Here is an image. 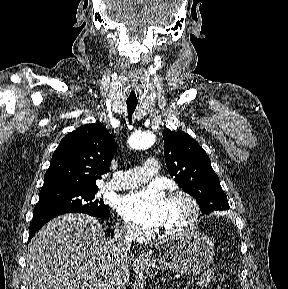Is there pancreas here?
Returning <instances> with one entry per match:
<instances>
[{"instance_id":"pancreas-1","label":"pancreas","mask_w":288,"mask_h":289,"mask_svg":"<svg viewBox=\"0 0 288 289\" xmlns=\"http://www.w3.org/2000/svg\"><path fill=\"white\" fill-rule=\"evenodd\" d=\"M213 275H214V269L211 268L207 272L202 274V276L199 278L197 286H199L200 288L207 287L209 285L210 281L214 280Z\"/></svg>"}]
</instances>
